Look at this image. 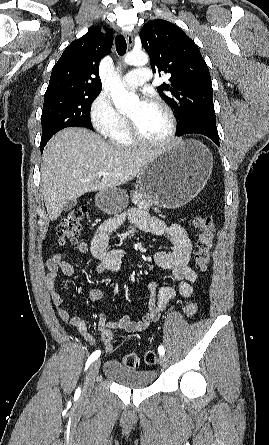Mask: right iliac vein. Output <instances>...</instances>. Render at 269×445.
Wrapping results in <instances>:
<instances>
[{"label":"right iliac vein","mask_w":269,"mask_h":445,"mask_svg":"<svg viewBox=\"0 0 269 445\" xmlns=\"http://www.w3.org/2000/svg\"><path fill=\"white\" fill-rule=\"evenodd\" d=\"M100 364H101L100 360H97L94 363H92L89 372L86 376L85 384L82 390L83 397H88L90 395L94 386L95 378L99 371Z\"/></svg>","instance_id":"1"}]
</instances>
